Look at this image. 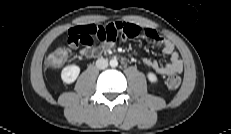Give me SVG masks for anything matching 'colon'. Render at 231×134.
I'll list each match as a JSON object with an SVG mask.
<instances>
[{"mask_svg": "<svg viewBox=\"0 0 231 134\" xmlns=\"http://www.w3.org/2000/svg\"><path fill=\"white\" fill-rule=\"evenodd\" d=\"M68 53L66 49H58L54 51L47 59V65L53 69H59L63 66L67 59ZM181 84V78L177 75H172L167 78L166 85L169 89L175 90Z\"/></svg>", "mask_w": 231, "mask_h": 134, "instance_id": "obj_1", "label": "colon"}]
</instances>
